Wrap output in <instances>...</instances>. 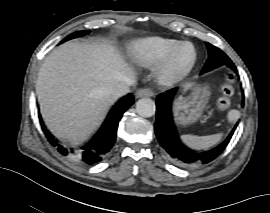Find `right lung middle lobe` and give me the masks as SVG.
I'll list each match as a JSON object with an SVG mask.
<instances>
[{"mask_svg":"<svg viewBox=\"0 0 270 213\" xmlns=\"http://www.w3.org/2000/svg\"><path fill=\"white\" fill-rule=\"evenodd\" d=\"M88 33H89V31H78V32H75V33H73V34L67 36V37H66L63 41H61L60 43H63V42H65V41H67V40H70V39H72V38L84 36V35H86V34H88Z\"/></svg>","mask_w":270,"mask_h":213,"instance_id":"obj_1","label":"right lung middle lobe"}]
</instances>
